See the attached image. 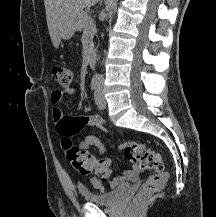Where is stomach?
Segmentation results:
<instances>
[{
    "label": "stomach",
    "mask_w": 216,
    "mask_h": 217,
    "mask_svg": "<svg viewBox=\"0 0 216 217\" xmlns=\"http://www.w3.org/2000/svg\"><path fill=\"white\" fill-rule=\"evenodd\" d=\"M74 31H75V25L73 24L72 26H70L66 32H65V35H64V39H69L73 36L74 34Z\"/></svg>",
    "instance_id": "obj_1"
}]
</instances>
